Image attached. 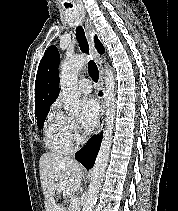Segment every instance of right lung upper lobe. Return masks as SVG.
<instances>
[{
    "label": "right lung upper lobe",
    "instance_id": "right-lung-upper-lobe-1",
    "mask_svg": "<svg viewBox=\"0 0 178 211\" xmlns=\"http://www.w3.org/2000/svg\"><path fill=\"white\" fill-rule=\"evenodd\" d=\"M95 44L99 53H104V47L95 36ZM59 52L52 45L40 61L35 82V114L50 108L59 94Z\"/></svg>",
    "mask_w": 178,
    "mask_h": 211
}]
</instances>
